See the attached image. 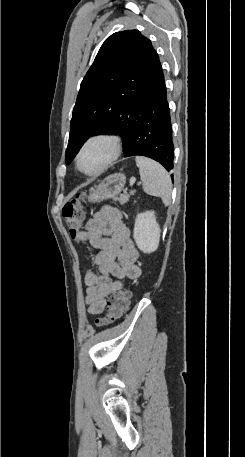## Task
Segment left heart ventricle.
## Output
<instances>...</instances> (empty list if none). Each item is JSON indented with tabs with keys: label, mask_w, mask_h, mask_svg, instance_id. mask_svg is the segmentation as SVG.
Segmentation results:
<instances>
[{
	"label": "left heart ventricle",
	"mask_w": 245,
	"mask_h": 457,
	"mask_svg": "<svg viewBox=\"0 0 245 457\" xmlns=\"http://www.w3.org/2000/svg\"><path fill=\"white\" fill-rule=\"evenodd\" d=\"M94 145H102L96 143ZM107 151L102 146H94L86 151L81 160L82 167L87 171L98 169L106 160Z\"/></svg>",
	"instance_id": "1"
}]
</instances>
